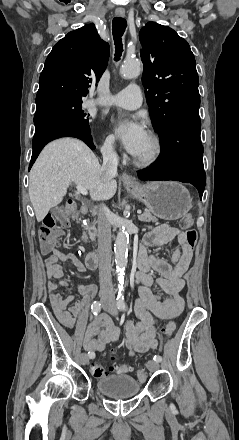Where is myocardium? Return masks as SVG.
I'll list each match as a JSON object with an SVG mask.
<instances>
[{
  "label": "myocardium",
  "mask_w": 239,
  "mask_h": 440,
  "mask_svg": "<svg viewBox=\"0 0 239 440\" xmlns=\"http://www.w3.org/2000/svg\"><path fill=\"white\" fill-rule=\"evenodd\" d=\"M148 136L152 142V152L147 156H133L134 163L141 168H150L156 165L164 152L161 138L155 132H149Z\"/></svg>",
  "instance_id": "1"
}]
</instances>
